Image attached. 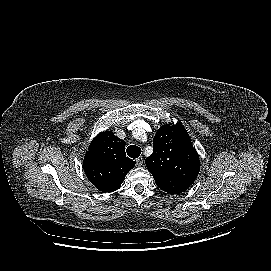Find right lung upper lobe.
Segmentation results:
<instances>
[{
  "label": "right lung upper lobe",
  "instance_id": "1",
  "mask_svg": "<svg viewBox=\"0 0 271 271\" xmlns=\"http://www.w3.org/2000/svg\"><path fill=\"white\" fill-rule=\"evenodd\" d=\"M134 166L135 161L126 157L125 141L108 131L93 139L83 161L87 178L102 192L117 190Z\"/></svg>",
  "mask_w": 271,
  "mask_h": 271
}]
</instances>
